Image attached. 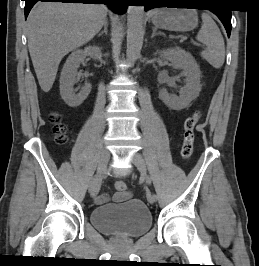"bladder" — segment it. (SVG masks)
<instances>
[{
	"label": "bladder",
	"instance_id": "31cf9c89",
	"mask_svg": "<svg viewBox=\"0 0 259 266\" xmlns=\"http://www.w3.org/2000/svg\"><path fill=\"white\" fill-rule=\"evenodd\" d=\"M91 224L101 233L122 238H137L152 227V215L139 199H129L120 205H102L90 212Z\"/></svg>",
	"mask_w": 259,
	"mask_h": 266
}]
</instances>
